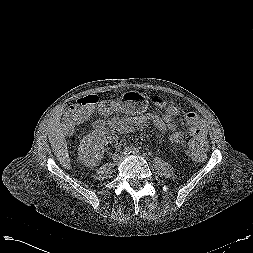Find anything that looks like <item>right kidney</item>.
Here are the masks:
<instances>
[{
  "label": "right kidney",
  "instance_id": "obj_1",
  "mask_svg": "<svg viewBox=\"0 0 253 253\" xmlns=\"http://www.w3.org/2000/svg\"><path fill=\"white\" fill-rule=\"evenodd\" d=\"M108 144L103 131L94 130L80 141L79 160L86 167H94L103 158L105 146Z\"/></svg>",
  "mask_w": 253,
  "mask_h": 253
}]
</instances>
